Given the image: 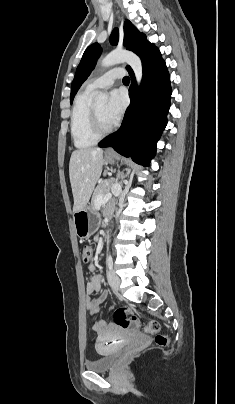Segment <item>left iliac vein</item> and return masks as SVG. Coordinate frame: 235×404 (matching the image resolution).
<instances>
[{"label":"left iliac vein","instance_id":"left-iliac-vein-1","mask_svg":"<svg viewBox=\"0 0 235 404\" xmlns=\"http://www.w3.org/2000/svg\"><path fill=\"white\" fill-rule=\"evenodd\" d=\"M108 279H109V282H110L111 286H112L115 290H118L121 281H120V278H119L112 270H110V271L108 272Z\"/></svg>","mask_w":235,"mask_h":404}]
</instances>
